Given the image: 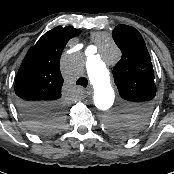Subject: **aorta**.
Returning <instances> with one entry per match:
<instances>
[{"mask_svg":"<svg viewBox=\"0 0 174 174\" xmlns=\"http://www.w3.org/2000/svg\"><path fill=\"white\" fill-rule=\"evenodd\" d=\"M120 57V51L113 41L107 39L104 46V58L108 62H116ZM87 73L94 88V103L101 112L100 123L107 131L110 130L111 123L119 121L125 117L124 112H109V108L114 102V90L110 82L109 72L105 62L94 57L87 60ZM111 131V130H110Z\"/></svg>","mask_w":174,"mask_h":174,"instance_id":"obj_1","label":"aorta"}]
</instances>
